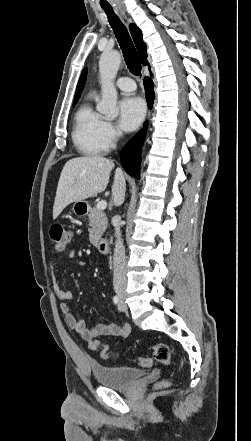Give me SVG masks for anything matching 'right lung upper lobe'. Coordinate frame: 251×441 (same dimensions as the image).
<instances>
[{
  "instance_id": "cb5924a9",
  "label": "right lung upper lobe",
  "mask_w": 251,
  "mask_h": 441,
  "mask_svg": "<svg viewBox=\"0 0 251 441\" xmlns=\"http://www.w3.org/2000/svg\"><path fill=\"white\" fill-rule=\"evenodd\" d=\"M129 28H130L131 35L133 37L134 43L137 48L139 58H140L142 64L145 66V65H147V53H146V45H145L144 41L142 40L141 30L135 24H130ZM86 74H87V69L85 68L84 71L82 72L80 79H79V82L77 84L74 101H78V99L80 98V94L83 90V87H84V84L86 81Z\"/></svg>"
}]
</instances>
